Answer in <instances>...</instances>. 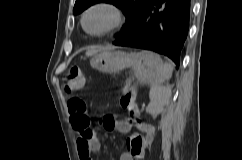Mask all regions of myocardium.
I'll use <instances>...</instances> for the list:
<instances>
[{
  "label": "myocardium",
  "mask_w": 242,
  "mask_h": 160,
  "mask_svg": "<svg viewBox=\"0 0 242 160\" xmlns=\"http://www.w3.org/2000/svg\"><path fill=\"white\" fill-rule=\"evenodd\" d=\"M100 8L110 10L113 13V17H114L113 21L108 27H106L102 31L90 32L86 28V24H85L86 18L90 12H92L93 10H96V9H100ZM125 20H126V14L119 5H117L116 3L112 2V1L102 0V1H98V2L91 4L84 10V12L81 16V26L88 35L93 36V37H103V36H106L114 31L118 30L119 28H121L123 26V24L125 23Z\"/></svg>",
  "instance_id": "f54148a6"
}]
</instances>
